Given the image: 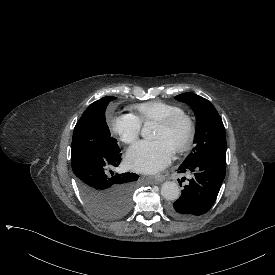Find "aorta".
<instances>
[{
    "mask_svg": "<svg viewBox=\"0 0 275 275\" xmlns=\"http://www.w3.org/2000/svg\"><path fill=\"white\" fill-rule=\"evenodd\" d=\"M151 125H147L142 131V136L145 139H152ZM161 195L167 200H176L180 195V189L174 181H164L161 185Z\"/></svg>",
    "mask_w": 275,
    "mask_h": 275,
    "instance_id": "1",
    "label": "aorta"
}]
</instances>
